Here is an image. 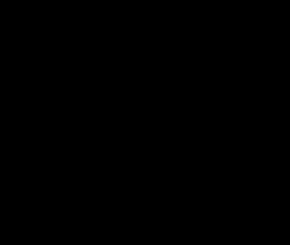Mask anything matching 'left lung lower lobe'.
Masks as SVG:
<instances>
[{
	"mask_svg": "<svg viewBox=\"0 0 290 245\" xmlns=\"http://www.w3.org/2000/svg\"><path fill=\"white\" fill-rule=\"evenodd\" d=\"M241 146H242V141L237 143L234 150L228 156L214 163L207 171L202 172V173L176 167L172 165L170 162H168L164 157H162V164L165 168L173 170L174 172H177L188 179L197 180L200 178H208L217 174L222 168H224V166L232 162L236 158L237 154L239 153Z\"/></svg>",
	"mask_w": 290,
	"mask_h": 245,
	"instance_id": "obj_1",
	"label": "left lung lower lobe"
}]
</instances>
